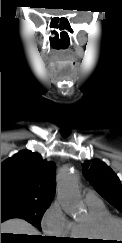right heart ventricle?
<instances>
[{
  "mask_svg": "<svg viewBox=\"0 0 122 243\" xmlns=\"http://www.w3.org/2000/svg\"><path fill=\"white\" fill-rule=\"evenodd\" d=\"M89 218L83 222H71L69 236L75 240L99 239L95 235L94 224L102 218L111 216L110 211L101 201L86 202Z\"/></svg>",
  "mask_w": 122,
  "mask_h": 243,
  "instance_id": "obj_1",
  "label": "right heart ventricle"
}]
</instances>
